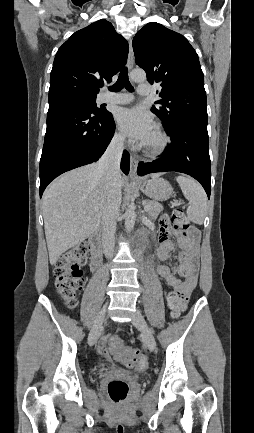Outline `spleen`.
<instances>
[{
	"mask_svg": "<svg viewBox=\"0 0 254 433\" xmlns=\"http://www.w3.org/2000/svg\"><path fill=\"white\" fill-rule=\"evenodd\" d=\"M176 180L185 198L189 201L188 218L193 223L203 224L207 215V196L204 189L197 181L185 176H178Z\"/></svg>",
	"mask_w": 254,
	"mask_h": 433,
	"instance_id": "1",
	"label": "spleen"
}]
</instances>
